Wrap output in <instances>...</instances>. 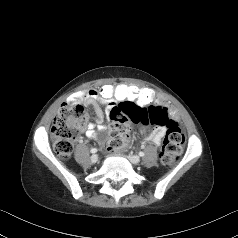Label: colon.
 <instances>
[{"mask_svg": "<svg viewBox=\"0 0 238 238\" xmlns=\"http://www.w3.org/2000/svg\"><path fill=\"white\" fill-rule=\"evenodd\" d=\"M99 98L105 102L122 103L110 110L109 118L113 125L109 132L108 148L116 151L122 148L128 137V122L165 124L167 131L160 153V161L164 165L173 164L180 156L185 141L178 123L170 119L173 110L169 106L155 104L157 95L154 90L136 84H111L104 82L97 89ZM84 117L81 103H64L54 118L51 127L52 146L62 159L69 157L77 138L78 128Z\"/></svg>", "mask_w": 238, "mask_h": 238, "instance_id": "5ec220e1", "label": "colon"}]
</instances>
